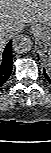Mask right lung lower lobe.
Returning <instances> with one entry per match:
<instances>
[{
    "instance_id": "obj_1",
    "label": "right lung lower lobe",
    "mask_w": 51,
    "mask_h": 153,
    "mask_svg": "<svg viewBox=\"0 0 51 153\" xmlns=\"http://www.w3.org/2000/svg\"><path fill=\"white\" fill-rule=\"evenodd\" d=\"M12 72V41H10L2 54L0 51V87L6 82Z\"/></svg>"
}]
</instances>
